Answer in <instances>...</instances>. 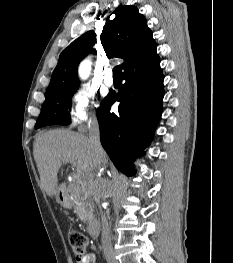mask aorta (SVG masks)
<instances>
[{
  "instance_id": "obj_1",
  "label": "aorta",
  "mask_w": 233,
  "mask_h": 263,
  "mask_svg": "<svg viewBox=\"0 0 233 263\" xmlns=\"http://www.w3.org/2000/svg\"><path fill=\"white\" fill-rule=\"evenodd\" d=\"M90 73V63L88 61H84L81 63L79 68V75L82 79H86Z\"/></svg>"
}]
</instances>
